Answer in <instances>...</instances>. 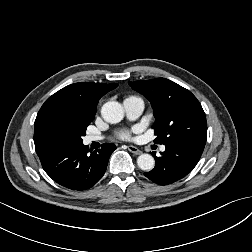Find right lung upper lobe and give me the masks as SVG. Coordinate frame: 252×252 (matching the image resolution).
<instances>
[{"label": "right lung upper lobe", "mask_w": 252, "mask_h": 252, "mask_svg": "<svg viewBox=\"0 0 252 252\" xmlns=\"http://www.w3.org/2000/svg\"><path fill=\"white\" fill-rule=\"evenodd\" d=\"M117 83L80 82L68 85L50 96L39 110L35 122L50 111H63L73 117L92 120L99 99Z\"/></svg>", "instance_id": "1"}]
</instances>
